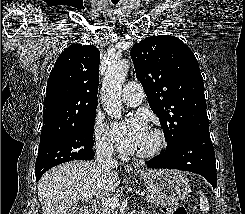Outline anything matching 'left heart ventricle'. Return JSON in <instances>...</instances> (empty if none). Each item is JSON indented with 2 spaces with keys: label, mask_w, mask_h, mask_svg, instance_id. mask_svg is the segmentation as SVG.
Masks as SVG:
<instances>
[{
  "label": "left heart ventricle",
  "mask_w": 245,
  "mask_h": 214,
  "mask_svg": "<svg viewBox=\"0 0 245 214\" xmlns=\"http://www.w3.org/2000/svg\"><path fill=\"white\" fill-rule=\"evenodd\" d=\"M157 143L156 136L150 132L149 130L146 131L142 139L140 140L139 144L133 150L134 153L145 152L152 149Z\"/></svg>",
  "instance_id": "left-heart-ventricle-1"
}]
</instances>
